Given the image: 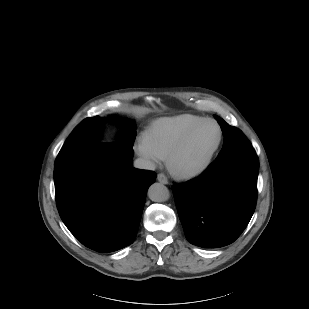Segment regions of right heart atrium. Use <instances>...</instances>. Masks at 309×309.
I'll return each instance as SVG.
<instances>
[{
	"mask_svg": "<svg viewBox=\"0 0 309 309\" xmlns=\"http://www.w3.org/2000/svg\"><path fill=\"white\" fill-rule=\"evenodd\" d=\"M136 152L140 157L152 163H156L160 159L150 149V147L148 146V144L145 142L143 138L137 142Z\"/></svg>",
	"mask_w": 309,
	"mask_h": 309,
	"instance_id": "right-heart-atrium-1",
	"label": "right heart atrium"
}]
</instances>
